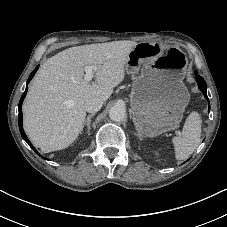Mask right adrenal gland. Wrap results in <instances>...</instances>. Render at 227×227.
<instances>
[{
	"instance_id": "obj_1",
	"label": "right adrenal gland",
	"mask_w": 227,
	"mask_h": 227,
	"mask_svg": "<svg viewBox=\"0 0 227 227\" xmlns=\"http://www.w3.org/2000/svg\"><path fill=\"white\" fill-rule=\"evenodd\" d=\"M94 116V114H90L87 116L84 125L87 126V133L89 134L90 132V124H91V118Z\"/></svg>"
}]
</instances>
